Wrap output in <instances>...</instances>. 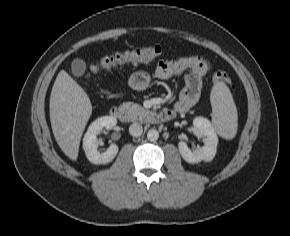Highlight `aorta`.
Listing matches in <instances>:
<instances>
[{"label":"aorta","mask_w":290,"mask_h":236,"mask_svg":"<svg viewBox=\"0 0 290 236\" xmlns=\"http://www.w3.org/2000/svg\"><path fill=\"white\" fill-rule=\"evenodd\" d=\"M147 138L151 142L157 141L159 138V132L155 129H150L147 133Z\"/></svg>","instance_id":"aorta-1"}]
</instances>
